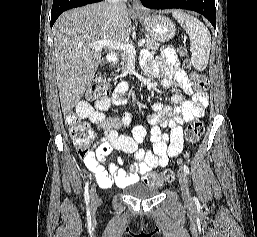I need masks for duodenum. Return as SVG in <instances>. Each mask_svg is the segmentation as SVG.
<instances>
[{"label":"duodenum","instance_id":"obj_1","mask_svg":"<svg viewBox=\"0 0 257 237\" xmlns=\"http://www.w3.org/2000/svg\"><path fill=\"white\" fill-rule=\"evenodd\" d=\"M108 60H109V63L115 64L117 62V55L113 52H110L108 54Z\"/></svg>","mask_w":257,"mask_h":237}]
</instances>
